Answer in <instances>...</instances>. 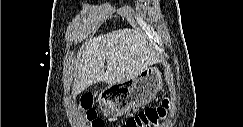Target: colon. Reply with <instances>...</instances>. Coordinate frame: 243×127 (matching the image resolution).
Returning <instances> with one entry per match:
<instances>
[{"mask_svg":"<svg viewBox=\"0 0 243 127\" xmlns=\"http://www.w3.org/2000/svg\"><path fill=\"white\" fill-rule=\"evenodd\" d=\"M171 106L170 99H165L158 107L148 108L128 118L124 127H152L156 126L160 120L166 117ZM79 110L83 113L86 122L91 127H103L104 122L97 116L93 108V95L85 93L78 100Z\"/></svg>","mask_w":243,"mask_h":127,"instance_id":"5ec220e1","label":"colon"}]
</instances>
